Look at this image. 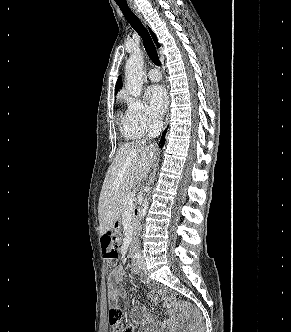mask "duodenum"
I'll use <instances>...</instances> for the list:
<instances>
[{"instance_id": "duodenum-1", "label": "duodenum", "mask_w": 291, "mask_h": 332, "mask_svg": "<svg viewBox=\"0 0 291 332\" xmlns=\"http://www.w3.org/2000/svg\"><path fill=\"white\" fill-rule=\"evenodd\" d=\"M134 252H135V246H134V244L132 243V244L130 245V248H129V251H128L129 256H130V257H133V256H134Z\"/></svg>"}]
</instances>
